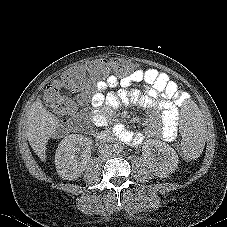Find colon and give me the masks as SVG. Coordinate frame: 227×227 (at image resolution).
I'll return each instance as SVG.
<instances>
[{
	"label": "colon",
	"instance_id": "1",
	"mask_svg": "<svg viewBox=\"0 0 227 227\" xmlns=\"http://www.w3.org/2000/svg\"><path fill=\"white\" fill-rule=\"evenodd\" d=\"M109 66H112L116 70H124L127 65L120 60H96L90 62L85 67H76L62 75L58 80L51 83L44 91L43 101L44 103L56 111L57 113L74 116L77 110L76 104L66 96L62 94L63 89L68 90H80L86 83V73H90L93 76H98L104 73ZM84 118H76L75 125L79 128L83 127ZM172 147L180 159L189 162L192 156L181 149V145L178 141L172 142Z\"/></svg>",
	"mask_w": 227,
	"mask_h": 227
}]
</instances>
